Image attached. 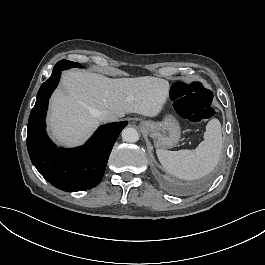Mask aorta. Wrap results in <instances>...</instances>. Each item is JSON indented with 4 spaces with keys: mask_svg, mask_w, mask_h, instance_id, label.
<instances>
[{
    "mask_svg": "<svg viewBox=\"0 0 265 265\" xmlns=\"http://www.w3.org/2000/svg\"><path fill=\"white\" fill-rule=\"evenodd\" d=\"M122 139L124 142L134 143L139 140V134L134 128H124L122 131Z\"/></svg>",
    "mask_w": 265,
    "mask_h": 265,
    "instance_id": "aorta-1",
    "label": "aorta"
}]
</instances>
